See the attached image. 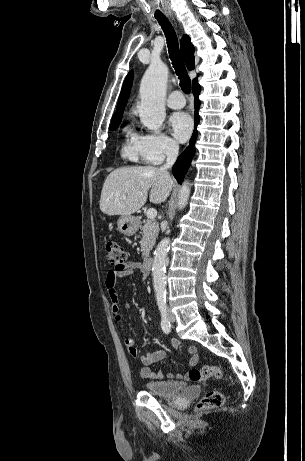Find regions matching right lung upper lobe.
Instances as JSON below:
<instances>
[{
    "instance_id": "obj_1",
    "label": "right lung upper lobe",
    "mask_w": 305,
    "mask_h": 461,
    "mask_svg": "<svg viewBox=\"0 0 305 461\" xmlns=\"http://www.w3.org/2000/svg\"><path fill=\"white\" fill-rule=\"evenodd\" d=\"M181 53L183 60L188 69L192 70L194 68V46L192 45L190 38L188 35H183L180 41ZM133 81V71H130L124 81L119 102L117 104V109L115 114L112 117V122L121 121V117L123 115L124 107L126 106L131 86ZM197 79L193 80V83L196 82Z\"/></svg>"
}]
</instances>
